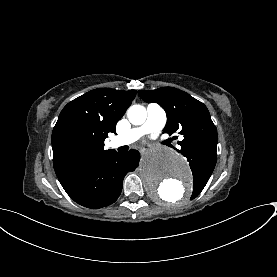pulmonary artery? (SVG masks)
Wrapping results in <instances>:
<instances>
[{"label": "pulmonary artery", "instance_id": "1", "mask_svg": "<svg viewBox=\"0 0 277 277\" xmlns=\"http://www.w3.org/2000/svg\"><path fill=\"white\" fill-rule=\"evenodd\" d=\"M166 121L167 116L164 110L157 106H149L144 110L143 122L130 131L115 137L112 144L114 146L132 144L146 133L160 131L165 126Z\"/></svg>", "mask_w": 277, "mask_h": 277}]
</instances>
